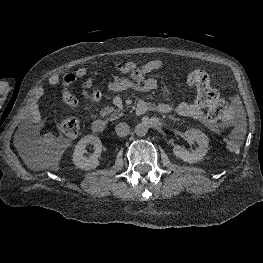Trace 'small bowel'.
Listing matches in <instances>:
<instances>
[{"label": "small bowel", "instance_id": "obj_1", "mask_svg": "<svg viewBox=\"0 0 263 263\" xmlns=\"http://www.w3.org/2000/svg\"><path fill=\"white\" fill-rule=\"evenodd\" d=\"M163 67V62L158 59L150 60L142 65H138L134 62L117 63L116 68L126 74L127 77L113 78L109 82L108 88L112 91L135 90L147 92L154 90L158 86V79L151 77L150 74L161 70ZM97 74V71L88 73L87 68L80 67L63 77L58 74H53L48 78V83L51 86H56L61 83V95L63 101L68 106L77 107L79 105V100L71 92V85L76 81L85 78L84 88L87 90L90 100L94 103H100L103 94L95 85ZM43 95L44 89L42 87L37 88L31 105L30 130L34 134L38 133L40 129L38 103ZM141 102L146 103L149 108H156L161 113H169L173 109L172 105L167 102H159L157 104H152L146 101ZM203 107L204 106L198 101V99H196L194 102L182 101L178 103L175 107V111L181 116L191 117L200 121L213 132H218L220 129L218 122L206 115L203 111ZM42 141L46 144H52L55 142V137L48 133L42 137Z\"/></svg>", "mask_w": 263, "mask_h": 263}]
</instances>
